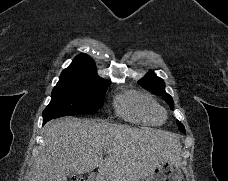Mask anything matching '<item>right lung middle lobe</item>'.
Returning <instances> with one entry per match:
<instances>
[{
    "label": "right lung middle lobe",
    "instance_id": "obj_1",
    "mask_svg": "<svg viewBox=\"0 0 228 181\" xmlns=\"http://www.w3.org/2000/svg\"><path fill=\"white\" fill-rule=\"evenodd\" d=\"M110 82H91L77 85L57 84L52 99L43 111V124L53 118L88 114L103 106Z\"/></svg>",
    "mask_w": 228,
    "mask_h": 181
}]
</instances>
